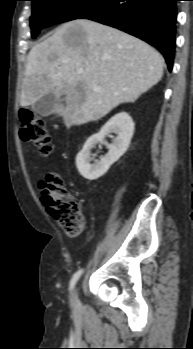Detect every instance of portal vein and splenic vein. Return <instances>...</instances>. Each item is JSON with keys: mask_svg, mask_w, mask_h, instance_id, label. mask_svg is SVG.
Here are the masks:
<instances>
[{"mask_svg": "<svg viewBox=\"0 0 193 349\" xmlns=\"http://www.w3.org/2000/svg\"><path fill=\"white\" fill-rule=\"evenodd\" d=\"M78 73H79V74H83V70H82V69L78 70ZM94 90L97 91L98 88H97V87H94Z\"/></svg>", "mask_w": 193, "mask_h": 349, "instance_id": "18ae733b", "label": "portal vein and splenic vein"}]
</instances>
